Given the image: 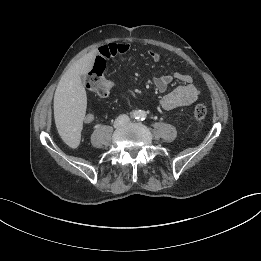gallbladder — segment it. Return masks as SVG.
Segmentation results:
<instances>
[{
	"label": "gallbladder",
	"instance_id": "gallbladder-1",
	"mask_svg": "<svg viewBox=\"0 0 261 261\" xmlns=\"http://www.w3.org/2000/svg\"><path fill=\"white\" fill-rule=\"evenodd\" d=\"M81 79H82V81H84V80H85V76H84V75H82V76H81Z\"/></svg>",
	"mask_w": 261,
	"mask_h": 261
}]
</instances>
